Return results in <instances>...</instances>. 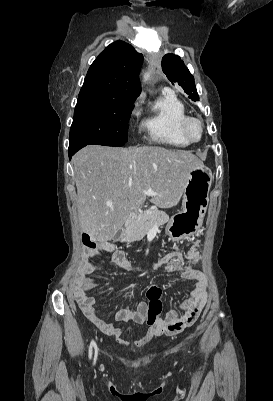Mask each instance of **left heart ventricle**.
<instances>
[{
	"instance_id": "left-heart-ventricle-1",
	"label": "left heart ventricle",
	"mask_w": 273,
	"mask_h": 401,
	"mask_svg": "<svg viewBox=\"0 0 273 401\" xmlns=\"http://www.w3.org/2000/svg\"><path fill=\"white\" fill-rule=\"evenodd\" d=\"M190 138L197 140L201 136V128L198 123H192L189 127Z\"/></svg>"
}]
</instances>
